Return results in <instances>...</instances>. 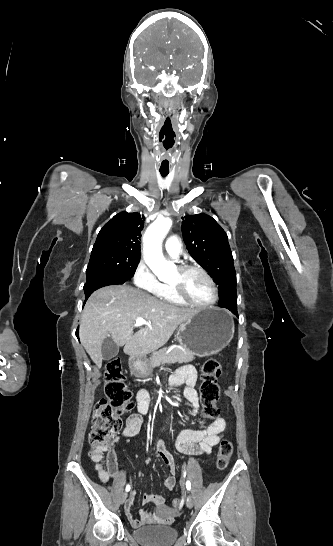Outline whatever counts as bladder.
Returning a JSON list of instances; mask_svg holds the SVG:
<instances>
[{
    "label": "bladder",
    "mask_w": 333,
    "mask_h": 546,
    "mask_svg": "<svg viewBox=\"0 0 333 546\" xmlns=\"http://www.w3.org/2000/svg\"><path fill=\"white\" fill-rule=\"evenodd\" d=\"M132 534L143 546H170L178 537L176 528L159 524L140 526Z\"/></svg>",
    "instance_id": "obj_1"
}]
</instances>
